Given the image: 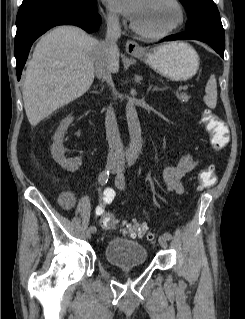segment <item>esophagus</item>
Masks as SVG:
<instances>
[{"label":"esophagus","instance_id":"34e87169","mask_svg":"<svg viewBox=\"0 0 245 319\" xmlns=\"http://www.w3.org/2000/svg\"><path fill=\"white\" fill-rule=\"evenodd\" d=\"M126 51L128 54H139L143 52V49L134 40H128L126 42Z\"/></svg>","mask_w":245,"mask_h":319}]
</instances>
